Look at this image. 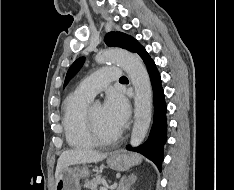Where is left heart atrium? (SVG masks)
I'll list each match as a JSON object with an SVG mask.
<instances>
[{"label": "left heart atrium", "mask_w": 234, "mask_h": 190, "mask_svg": "<svg viewBox=\"0 0 234 190\" xmlns=\"http://www.w3.org/2000/svg\"><path fill=\"white\" fill-rule=\"evenodd\" d=\"M103 107L110 122L123 127L129 117V105L124 96L116 91L109 92Z\"/></svg>", "instance_id": "1"}]
</instances>
